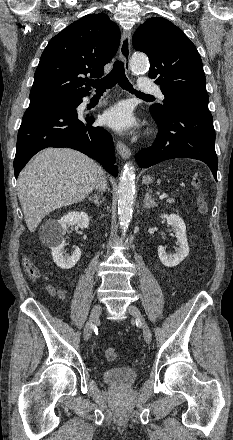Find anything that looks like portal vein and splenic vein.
I'll use <instances>...</instances> for the list:
<instances>
[{"label":"portal vein and splenic vein","instance_id":"1","mask_svg":"<svg viewBox=\"0 0 233 440\" xmlns=\"http://www.w3.org/2000/svg\"><path fill=\"white\" fill-rule=\"evenodd\" d=\"M159 198L162 200V199H164V198H167V195H166V194H163V195H161Z\"/></svg>","mask_w":233,"mask_h":440}]
</instances>
